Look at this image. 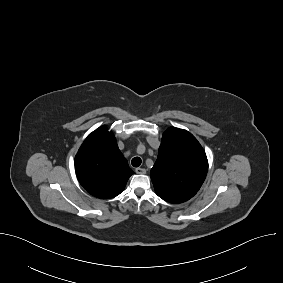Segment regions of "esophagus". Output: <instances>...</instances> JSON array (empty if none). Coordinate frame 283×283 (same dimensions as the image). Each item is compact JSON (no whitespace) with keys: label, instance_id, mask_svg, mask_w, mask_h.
<instances>
[{"label":"esophagus","instance_id":"obj_1","mask_svg":"<svg viewBox=\"0 0 283 283\" xmlns=\"http://www.w3.org/2000/svg\"><path fill=\"white\" fill-rule=\"evenodd\" d=\"M135 172L137 173V174H145L146 173V170L144 169V168H136L135 169Z\"/></svg>","mask_w":283,"mask_h":283}]
</instances>
